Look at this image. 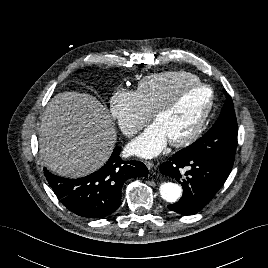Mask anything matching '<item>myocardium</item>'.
Returning a JSON list of instances; mask_svg holds the SVG:
<instances>
[{
    "mask_svg": "<svg viewBox=\"0 0 268 268\" xmlns=\"http://www.w3.org/2000/svg\"><path fill=\"white\" fill-rule=\"evenodd\" d=\"M191 88L207 89L210 93L209 99L205 107L203 108L199 119L197 120L196 124L193 126V128L182 138L169 141V143L174 147H183V146L189 145L197 138V136L200 134V132L204 128L207 122V119L211 113V110L213 108V105H214L215 98H214V92L212 88L209 85L200 81L182 85L178 87V89L169 97V99L163 105H161L158 109H156L155 112L152 114L153 120L157 121L160 117H162L163 115L167 114L172 109H174V107L178 104L180 100L181 94L184 91L191 89Z\"/></svg>",
    "mask_w": 268,
    "mask_h": 268,
    "instance_id": "1",
    "label": "myocardium"
}]
</instances>
